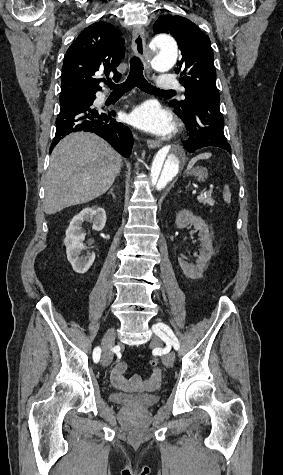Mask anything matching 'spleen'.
Listing matches in <instances>:
<instances>
[{
	"instance_id": "spleen-1",
	"label": "spleen",
	"mask_w": 283,
	"mask_h": 475,
	"mask_svg": "<svg viewBox=\"0 0 283 475\" xmlns=\"http://www.w3.org/2000/svg\"><path fill=\"white\" fill-rule=\"evenodd\" d=\"M211 156L212 154H199V156H196V158H192L191 162H189L187 166V170H191V168H193L194 164H196L198 160H207V158H211ZM223 198L226 204H230L231 194H230L229 186H225L224 192H223Z\"/></svg>"
}]
</instances>
